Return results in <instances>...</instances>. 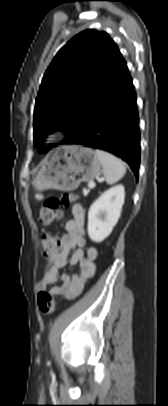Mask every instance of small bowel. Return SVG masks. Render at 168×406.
<instances>
[{"mask_svg": "<svg viewBox=\"0 0 168 406\" xmlns=\"http://www.w3.org/2000/svg\"><path fill=\"white\" fill-rule=\"evenodd\" d=\"M71 213L73 218L65 224L66 232L60 238V249L49 258L43 276L36 285L37 291H44L60 280L61 285L52 286L49 292L65 299H74L81 294L86 282L95 273V260L98 256L96 247H86L84 209L80 205H74ZM70 252L72 254L68 258ZM67 263L77 266L79 272L72 275L61 273Z\"/></svg>", "mask_w": 168, "mask_h": 406, "instance_id": "1", "label": "small bowel"}]
</instances>
